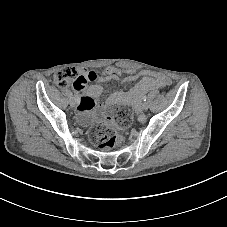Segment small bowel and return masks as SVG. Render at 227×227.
I'll use <instances>...</instances> for the list:
<instances>
[{"label": "small bowel", "mask_w": 227, "mask_h": 227, "mask_svg": "<svg viewBox=\"0 0 227 227\" xmlns=\"http://www.w3.org/2000/svg\"><path fill=\"white\" fill-rule=\"evenodd\" d=\"M124 72L127 74L125 80L131 81L135 79L134 70L127 69ZM121 74L122 71L116 67L106 68L100 76L94 71L81 70L79 72V78L73 83V88L81 96L77 107V118L81 123L87 124L89 122V114L95 107L96 100L103 93L102 85L93 84L87 86V83L95 80L108 82L119 79ZM170 84L171 80L162 74L145 76L129 93L116 92L108 100L103 102L102 106L107 107L117 103L128 102L138 108L144 94L153 89L167 87Z\"/></svg>", "instance_id": "small-bowel-1"}]
</instances>
